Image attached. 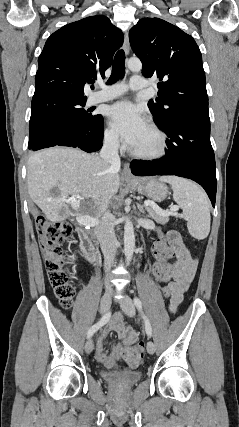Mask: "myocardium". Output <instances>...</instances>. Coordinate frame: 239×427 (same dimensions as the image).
Instances as JSON below:
<instances>
[{
  "label": "myocardium",
  "instance_id": "f54148a6",
  "mask_svg": "<svg viewBox=\"0 0 239 427\" xmlns=\"http://www.w3.org/2000/svg\"><path fill=\"white\" fill-rule=\"evenodd\" d=\"M147 125L158 137L157 148L151 152L137 151V150L133 149L132 147H130L128 150L132 156H134L138 159L149 160V161L157 160V159L162 158L167 152V149H168L167 136H166L165 132L154 122L148 121Z\"/></svg>",
  "mask_w": 239,
  "mask_h": 427
}]
</instances>
